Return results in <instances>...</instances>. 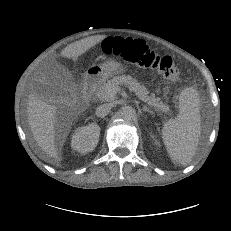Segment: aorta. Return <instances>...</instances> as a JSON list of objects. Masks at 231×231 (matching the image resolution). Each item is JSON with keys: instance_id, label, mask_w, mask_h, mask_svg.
Masks as SVG:
<instances>
[{"instance_id": "1", "label": "aorta", "mask_w": 231, "mask_h": 231, "mask_svg": "<svg viewBox=\"0 0 231 231\" xmlns=\"http://www.w3.org/2000/svg\"><path fill=\"white\" fill-rule=\"evenodd\" d=\"M121 115L125 120H132L136 116V111L131 106H125L122 109Z\"/></svg>"}]
</instances>
